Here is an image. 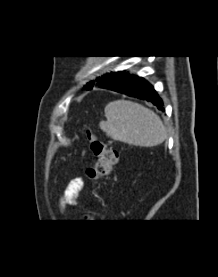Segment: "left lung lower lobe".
I'll use <instances>...</instances> for the list:
<instances>
[{
  "label": "left lung lower lobe",
  "mask_w": 218,
  "mask_h": 277,
  "mask_svg": "<svg viewBox=\"0 0 218 277\" xmlns=\"http://www.w3.org/2000/svg\"><path fill=\"white\" fill-rule=\"evenodd\" d=\"M99 87L150 101L164 111L163 102L157 92L143 78L127 73L111 74Z\"/></svg>",
  "instance_id": "0a47b994"
}]
</instances>
